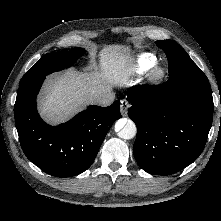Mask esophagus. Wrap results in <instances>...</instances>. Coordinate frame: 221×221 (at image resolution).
Listing matches in <instances>:
<instances>
[{"instance_id": "34e87169", "label": "esophagus", "mask_w": 221, "mask_h": 221, "mask_svg": "<svg viewBox=\"0 0 221 221\" xmlns=\"http://www.w3.org/2000/svg\"><path fill=\"white\" fill-rule=\"evenodd\" d=\"M129 106H130V104L126 99L121 100L120 112H121L122 116L127 115Z\"/></svg>"}]
</instances>
